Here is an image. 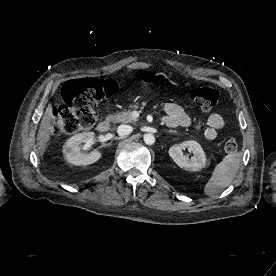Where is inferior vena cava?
I'll return each instance as SVG.
<instances>
[{
    "label": "inferior vena cava",
    "instance_id": "602c4592",
    "mask_svg": "<svg viewBox=\"0 0 276 276\" xmlns=\"http://www.w3.org/2000/svg\"><path fill=\"white\" fill-rule=\"evenodd\" d=\"M133 131L130 125H120L117 129L119 136H127Z\"/></svg>",
    "mask_w": 276,
    "mask_h": 276
}]
</instances>
